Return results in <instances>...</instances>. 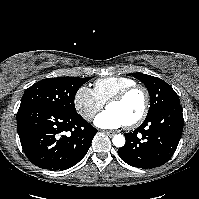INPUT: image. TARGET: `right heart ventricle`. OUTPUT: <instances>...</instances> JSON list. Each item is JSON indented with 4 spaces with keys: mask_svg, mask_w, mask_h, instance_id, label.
I'll return each mask as SVG.
<instances>
[{
    "mask_svg": "<svg viewBox=\"0 0 199 199\" xmlns=\"http://www.w3.org/2000/svg\"><path fill=\"white\" fill-rule=\"evenodd\" d=\"M133 84L136 82L130 78L110 76L95 81L93 91L98 99L105 104L121 90Z\"/></svg>",
    "mask_w": 199,
    "mask_h": 199,
    "instance_id": "e07e8e85",
    "label": "right heart ventricle"
}]
</instances>
